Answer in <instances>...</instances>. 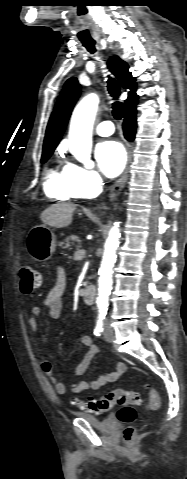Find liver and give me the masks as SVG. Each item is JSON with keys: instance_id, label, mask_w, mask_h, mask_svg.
<instances>
[{"instance_id": "obj_1", "label": "liver", "mask_w": 187, "mask_h": 479, "mask_svg": "<svg viewBox=\"0 0 187 479\" xmlns=\"http://www.w3.org/2000/svg\"><path fill=\"white\" fill-rule=\"evenodd\" d=\"M76 207L77 205L72 203L52 204L41 213L40 219L46 225L64 228L71 224Z\"/></svg>"}]
</instances>
